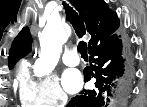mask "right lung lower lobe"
I'll return each instance as SVG.
<instances>
[{
  "instance_id": "right-lung-lower-lobe-1",
  "label": "right lung lower lobe",
  "mask_w": 147,
  "mask_h": 107,
  "mask_svg": "<svg viewBox=\"0 0 147 107\" xmlns=\"http://www.w3.org/2000/svg\"><path fill=\"white\" fill-rule=\"evenodd\" d=\"M90 66L84 69L85 82L95 78V87L83 90L67 107H107L109 95L124 103L130 92L132 68L128 57L122 56V42L116 33L89 48Z\"/></svg>"
}]
</instances>
